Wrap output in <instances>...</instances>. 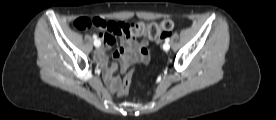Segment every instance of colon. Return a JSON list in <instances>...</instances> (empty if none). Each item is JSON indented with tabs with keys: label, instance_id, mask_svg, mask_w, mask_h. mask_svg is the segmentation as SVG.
I'll use <instances>...</instances> for the list:
<instances>
[{
	"label": "colon",
	"instance_id": "1",
	"mask_svg": "<svg viewBox=\"0 0 276 120\" xmlns=\"http://www.w3.org/2000/svg\"><path fill=\"white\" fill-rule=\"evenodd\" d=\"M107 26V21L94 17H81L73 22V27L77 30H86L90 28L104 29ZM175 23L171 19H165L160 23L146 24L143 22H135L125 24L122 31L128 38L145 37L153 41L159 42L170 34ZM132 79V73H127L121 81L116 83V94L119 97H124L128 94L129 86Z\"/></svg>",
	"mask_w": 276,
	"mask_h": 120
}]
</instances>
